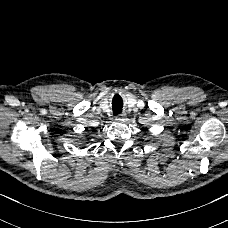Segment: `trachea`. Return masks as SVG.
Returning a JSON list of instances; mask_svg holds the SVG:
<instances>
[{
    "instance_id": "trachea-1",
    "label": "trachea",
    "mask_w": 228,
    "mask_h": 228,
    "mask_svg": "<svg viewBox=\"0 0 228 228\" xmlns=\"http://www.w3.org/2000/svg\"><path fill=\"white\" fill-rule=\"evenodd\" d=\"M120 112H121V108H117V109L113 110L114 115H117Z\"/></svg>"
}]
</instances>
